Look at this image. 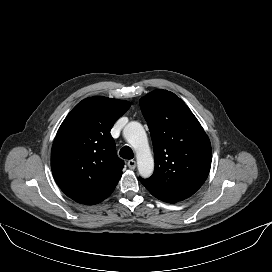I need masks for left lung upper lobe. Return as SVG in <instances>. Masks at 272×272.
I'll return each instance as SVG.
<instances>
[{
  "label": "left lung upper lobe",
  "mask_w": 272,
  "mask_h": 272,
  "mask_svg": "<svg viewBox=\"0 0 272 272\" xmlns=\"http://www.w3.org/2000/svg\"><path fill=\"white\" fill-rule=\"evenodd\" d=\"M155 157L154 174L141 182L151 194L181 201L208 177L212 151L209 138L188 106L174 93L154 90L140 99Z\"/></svg>",
  "instance_id": "left-lung-upper-lobe-1"
}]
</instances>
